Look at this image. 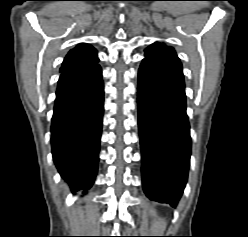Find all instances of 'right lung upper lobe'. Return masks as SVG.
<instances>
[{"mask_svg":"<svg viewBox=\"0 0 248 237\" xmlns=\"http://www.w3.org/2000/svg\"><path fill=\"white\" fill-rule=\"evenodd\" d=\"M98 61L96 50L88 44L81 43L65 57L60 72L70 73L82 70L97 64Z\"/></svg>","mask_w":248,"mask_h":237,"instance_id":"cb5924a9","label":"right lung upper lobe"}]
</instances>
